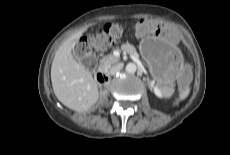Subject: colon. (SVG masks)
<instances>
[{
    "instance_id": "obj_1",
    "label": "colon",
    "mask_w": 230,
    "mask_h": 155,
    "mask_svg": "<svg viewBox=\"0 0 230 155\" xmlns=\"http://www.w3.org/2000/svg\"><path fill=\"white\" fill-rule=\"evenodd\" d=\"M123 36V28L116 23H108L98 29L94 35L82 37L77 44V55L82 59L88 68H94L97 64V59L93 50H104L108 48L114 41ZM189 76V69L186 66L181 68V81L184 85Z\"/></svg>"
}]
</instances>
